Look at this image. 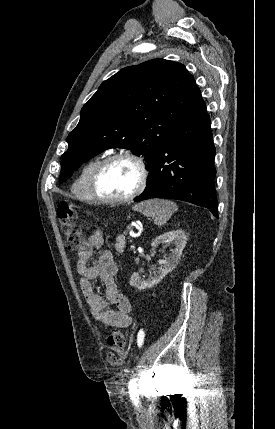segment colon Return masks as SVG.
<instances>
[{
	"label": "colon",
	"instance_id": "5ec220e1",
	"mask_svg": "<svg viewBox=\"0 0 275 429\" xmlns=\"http://www.w3.org/2000/svg\"><path fill=\"white\" fill-rule=\"evenodd\" d=\"M57 216L60 220L61 230L65 236L69 250H78L83 243V232L78 223L76 212L67 204L60 203L57 208ZM108 345L115 351L107 354V361L112 366H119L124 362L121 351L127 345V335L119 328H114L107 338Z\"/></svg>",
	"mask_w": 275,
	"mask_h": 429
}]
</instances>
